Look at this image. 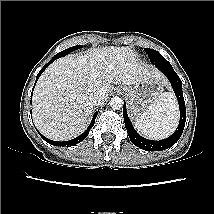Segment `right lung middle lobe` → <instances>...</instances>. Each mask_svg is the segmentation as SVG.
I'll return each instance as SVG.
<instances>
[{"label": "right lung middle lobe", "mask_w": 214, "mask_h": 214, "mask_svg": "<svg viewBox=\"0 0 214 214\" xmlns=\"http://www.w3.org/2000/svg\"><path fill=\"white\" fill-rule=\"evenodd\" d=\"M81 47H82V46H79V45L70 47V48H68V49H66V50H64V51H62V52H59V53L56 54L54 57H56V58L63 57V56H65V55L69 54L70 52H72V51H74V50H76V49H79V48H81Z\"/></svg>", "instance_id": "1"}]
</instances>
